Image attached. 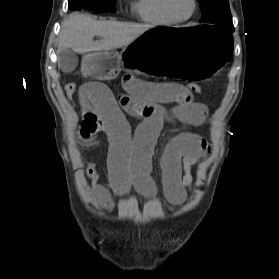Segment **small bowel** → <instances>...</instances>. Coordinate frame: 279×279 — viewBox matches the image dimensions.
<instances>
[{
    "label": "small bowel",
    "mask_w": 279,
    "mask_h": 279,
    "mask_svg": "<svg viewBox=\"0 0 279 279\" xmlns=\"http://www.w3.org/2000/svg\"><path fill=\"white\" fill-rule=\"evenodd\" d=\"M123 87L125 94L115 95L107 85L89 82L78 91L81 142L96 149L101 133L109 141L108 181L100 180L95 164H89L86 170L94 200L107 209L113 205L111 191L126 193L134 187L145 195H154L151 159L161 130L174 123L202 125L208 114L206 105L194 101L180 84L150 82L143 73L131 71L124 75ZM168 104L172 106L166 107ZM125 113L141 119L134 135ZM209 151L207 141L195 133H181L166 145L161 159L162 186L171 204L186 200L187 189L195 180L192 167Z\"/></svg>",
    "instance_id": "c3829d8e"
}]
</instances>
